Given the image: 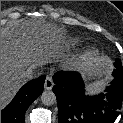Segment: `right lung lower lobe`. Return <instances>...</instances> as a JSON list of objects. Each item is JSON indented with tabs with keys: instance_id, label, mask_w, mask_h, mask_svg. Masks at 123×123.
Returning <instances> with one entry per match:
<instances>
[{
	"instance_id": "right-lung-lower-lobe-1",
	"label": "right lung lower lobe",
	"mask_w": 123,
	"mask_h": 123,
	"mask_svg": "<svg viewBox=\"0 0 123 123\" xmlns=\"http://www.w3.org/2000/svg\"><path fill=\"white\" fill-rule=\"evenodd\" d=\"M45 76L29 81L16 94L11 103L1 111V123H25V112L42 93Z\"/></svg>"
}]
</instances>
